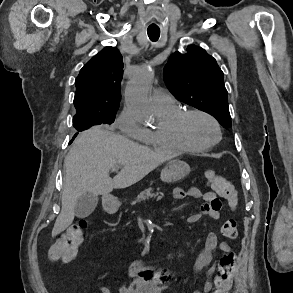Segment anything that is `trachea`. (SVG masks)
Listing matches in <instances>:
<instances>
[{
  "mask_svg": "<svg viewBox=\"0 0 293 293\" xmlns=\"http://www.w3.org/2000/svg\"><path fill=\"white\" fill-rule=\"evenodd\" d=\"M147 34L151 41H157L160 36V29H147Z\"/></svg>",
  "mask_w": 293,
  "mask_h": 293,
  "instance_id": "1",
  "label": "trachea"
}]
</instances>
